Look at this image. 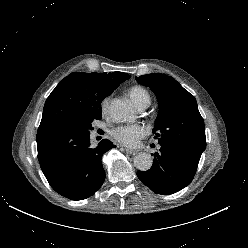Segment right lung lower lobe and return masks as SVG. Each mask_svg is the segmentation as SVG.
<instances>
[{
    "label": "right lung lower lobe",
    "mask_w": 248,
    "mask_h": 248,
    "mask_svg": "<svg viewBox=\"0 0 248 248\" xmlns=\"http://www.w3.org/2000/svg\"><path fill=\"white\" fill-rule=\"evenodd\" d=\"M90 133L62 127L37 141L38 160L50 186L71 200L93 195L105 180L101 157L115 147L103 139L90 147Z\"/></svg>",
    "instance_id": "right-lung-lower-lobe-1"
}]
</instances>
